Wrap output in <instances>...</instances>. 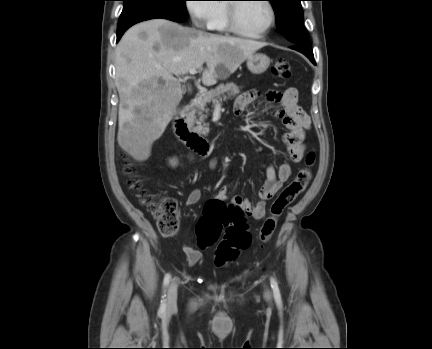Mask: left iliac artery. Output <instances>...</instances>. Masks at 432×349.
<instances>
[{
  "label": "left iliac artery",
  "mask_w": 432,
  "mask_h": 349,
  "mask_svg": "<svg viewBox=\"0 0 432 349\" xmlns=\"http://www.w3.org/2000/svg\"><path fill=\"white\" fill-rule=\"evenodd\" d=\"M270 283H271V288H272L273 293H274L275 301H276L278 306H281L282 300H281V294H280L278 283L273 277H271Z\"/></svg>",
  "instance_id": "44dca946"
}]
</instances>
